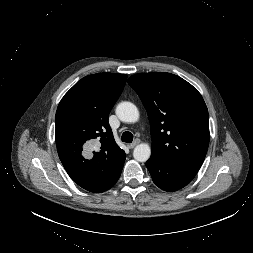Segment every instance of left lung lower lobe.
I'll use <instances>...</instances> for the list:
<instances>
[{"mask_svg": "<svg viewBox=\"0 0 253 253\" xmlns=\"http://www.w3.org/2000/svg\"><path fill=\"white\" fill-rule=\"evenodd\" d=\"M154 183L161 189L172 192L185 187L196 174L175 168L158 159L150 157L146 162Z\"/></svg>", "mask_w": 253, "mask_h": 253, "instance_id": "1", "label": "left lung lower lobe"}]
</instances>
